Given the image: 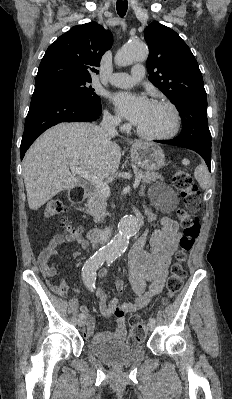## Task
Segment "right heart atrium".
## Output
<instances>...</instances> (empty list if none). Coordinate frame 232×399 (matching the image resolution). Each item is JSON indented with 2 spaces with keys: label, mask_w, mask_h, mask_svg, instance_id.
<instances>
[{
  "label": "right heart atrium",
  "mask_w": 232,
  "mask_h": 399,
  "mask_svg": "<svg viewBox=\"0 0 232 399\" xmlns=\"http://www.w3.org/2000/svg\"><path fill=\"white\" fill-rule=\"evenodd\" d=\"M105 117L107 122H120V119L117 116H113L109 113H107Z\"/></svg>",
  "instance_id": "1"
}]
</instances>
